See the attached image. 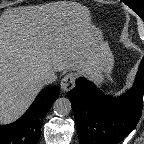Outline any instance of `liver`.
Returning a JSON list of instances; mask_svg holds the SVG:
<instances>
[{"label":"liver","mask_w":144,"mask_h":144,"mask_svg":"<svg viewBox=\"0 0 144 144\" xmlns=\"http://www.w3.org/2000/svg\"><path fill=\"white\" fill-rule=\"evenodd\" d=\"M87 7L58 1L0 16V124L17 120L41 91L43 74H96V27Z\"/></svg>","instance_id":"6515ba94"}]
</instances>
